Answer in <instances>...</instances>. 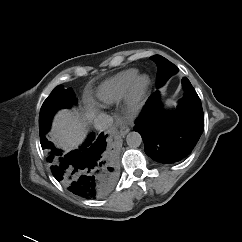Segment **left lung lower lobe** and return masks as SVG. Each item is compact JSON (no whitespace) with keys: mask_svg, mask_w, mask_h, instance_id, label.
<instances>
[{"mask_svg":"<svg viewBox=\"0 0 242 242\" xmlns=\"http://www.w3.org/2000/svg\"><path fill=\"white\" fill-rule=\"evenodd\" d=\"M184 97L174 111H166L159 92L153 93L136 120L134 130L144 141L145 153L162 164L185 159L204 130L201 100L187 78L182 79Z\"/></svg>","mask_w":242,"mask_h":242,"instance_id":"1","label":"left lung lower lobe"}]
</instances>
